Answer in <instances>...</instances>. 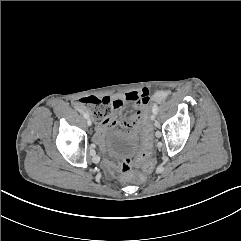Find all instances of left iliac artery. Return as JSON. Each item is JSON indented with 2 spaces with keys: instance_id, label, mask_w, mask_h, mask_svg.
Segmentation results:
<instances>
[{
  "instance_id": "44dca946",
  "label": "left iliac artery",
  "mask_w": 241,
  "mask_h": 241,
  "mask_svg": "<svg viewBox=\"0 0 241 241\" xmlns=\"http://www.w3.org/2000/svg\"><path fill=\"white\" fill-rule=\"evenodd\" d=\"M152 111H153V113L157 114L158 106L156 104L153 105Z\"/></svg>"
}]
</instances>
